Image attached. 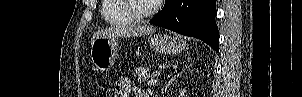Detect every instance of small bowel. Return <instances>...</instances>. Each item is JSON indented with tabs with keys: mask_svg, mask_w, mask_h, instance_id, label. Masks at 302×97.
I'll return each instance as SVG.
<instances>
[{
	"mask_svg": "<svg viewBox=\"0 0 302 97\" xmlns=\"http://www.w3.org/2000/svg\"><path fill=\"white\" fill-rule=\"evenodd\" d=\"M130 91H134L136 93V97H143L144 95L132 86L131 81L127 77H122L115 86L114 97H128Z\"/></svg>",
	"mask_w": 302,
	"mask_h": 97,
	"instance_id": "obj_1",
	"label": "small bowel"
}]
</instances>
